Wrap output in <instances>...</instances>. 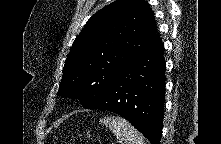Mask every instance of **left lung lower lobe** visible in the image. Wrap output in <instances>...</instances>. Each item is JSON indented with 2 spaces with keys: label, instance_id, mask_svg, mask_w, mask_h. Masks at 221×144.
<instances>
[{
  "label": "left lung lower lobe",
  "instance_id": "1",
  "mask_svg": "<svg viewBox=\"0 0 221 144\" xmlns=\"http://www.w3.org/2000/svg\"><path fill=\"white\" fill-rule=\"evenodd\" d=\"M164 45L159 34L124 67L88 109L107 110L127 119L151 144H160L165 96Z\"/></svg>",
  "mask_w": 221,
  "mask_h": 144
}]
</instances>
